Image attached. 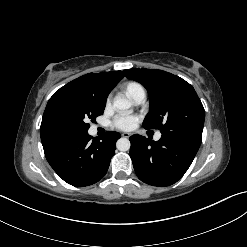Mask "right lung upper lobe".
<instances>
[{
    "instance_id": "obj_1",
    "label": "right lung upper lobe",
    "mask_w": 247,
    "mask_h": 247,
    "mask_svg": "<svg viewBox=\"0 0 247 247\" xmlns=\"http://www.w3.org/2000/svg\"><path fill=\"white\" fill-rule=\"evenodd\" d=\"M124 77L122 71H111L101 73H88L83 75L65 86L61 87L54 95L49 99L42 123L40 127L42 145H47L61 139L53 136L46 128L45 117L51 108L52 104L60 97L74 91H84L100 101H106V98L114 86Z\"/></svg>"
}]
</instances>
